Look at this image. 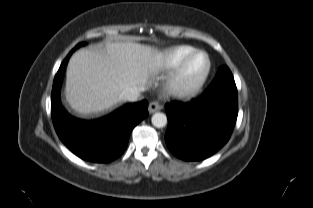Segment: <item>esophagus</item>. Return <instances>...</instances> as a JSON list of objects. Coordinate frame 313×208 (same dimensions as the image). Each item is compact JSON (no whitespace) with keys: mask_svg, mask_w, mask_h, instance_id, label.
<instances>
[{"mask_svg":"<svg viewBox=\"0 0 313 208\" xmlns=\"http://www.w3.org/2000/svg\"><path fill=\"white\" fill-rule=\"evenodd\" d=\"M161 108H162V106L158 102L153 101L149 104L148 111H149V113H154V112L160 110Z\"/></svg>","mask_w":313,"mask_h":208,"instance_id":"1","label":"esophagus"}]
</instances>
